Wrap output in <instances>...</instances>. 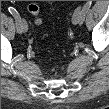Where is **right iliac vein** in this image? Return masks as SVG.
Wrapping results in <instances>:
<instances>
[{"label":"right iliac vein","mask_w":109,"mask_h":109,"mask_svg":"<svg viewBox=\"0 0 109 109\" xmlns=\"http://www.w3.org/2000/svg\"><path fill=\"white\" fill-rule=\"evenodd\" d=\"M20 24L22 26V32H26L28 30V26H27V22L25 21V19H21Z\"/></svg>","instance_id":"obj_1"}]
</instances>
